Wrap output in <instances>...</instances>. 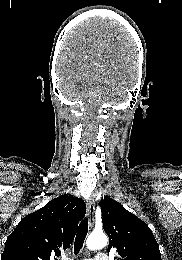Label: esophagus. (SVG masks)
Wrapping results in <instances>:
<instances>
[{
  "instance_id": "esophagus-1",
  "label": "esophagus",
  "mask_w": 182,
  "mask_h": 260,
  "mask_svg": "<svg viewBox=\"0 0 182 260\" xmlns=\"http://www.w3.org/2000/svg\"><path fill=\"white\" fill-rule=\"evenodd\" d=\"M94 212L95 204L92 198L87 200V214L89 219V226L92 228L94 225Z\"/></svg>"
}]
</instances>
